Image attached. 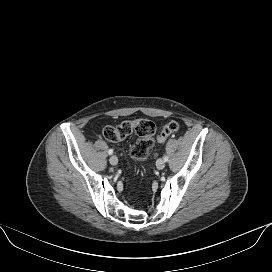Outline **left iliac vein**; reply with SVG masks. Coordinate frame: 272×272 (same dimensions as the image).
Instances as JSON below:
<instances>
[{
	"instance_id": "1",
	"label": "left iliac vein",
	"mask_w": 272,
	"mask_h": 272,
	"mask_svg": "<svg viewBox=\"0 0 272 272\" xmlns=\"http://www.w3.org/2000/svg\"><path fill=\"white\" fill-rule=\"evenodd\" d=\"M156 167L159 169V170H162L164 167H165V161L163 159H158L156 161Z\"/></svg>"
}]
</instances>
